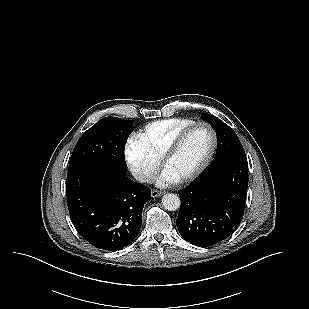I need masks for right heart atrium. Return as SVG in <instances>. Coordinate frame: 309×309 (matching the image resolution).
<instances>
[{
	"label": "right heart atrium",
	"instance_id": "1",
	"mask_svg": "<svg viewBox=\"0 0 309 309\" xmlns=\"http://www.w3.org/2000/svg\"><path fill=\"white\" fill-rule=\"evenodd\" d=\"M125 158L131 173L141 183L151 181L160 167V159L145 149L136 138L126 143Z\"/></svg>",
	"mask_w": 309,
	"mask_h": 309
}]
</instances>
